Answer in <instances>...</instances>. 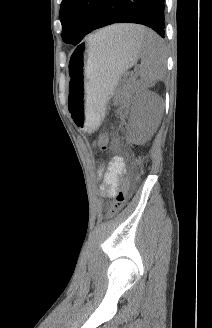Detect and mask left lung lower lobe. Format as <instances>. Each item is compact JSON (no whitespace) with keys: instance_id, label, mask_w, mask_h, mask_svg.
Here are the masks:
<instances>
[{"instance_id":"obj_1","label":"left lung lower lobe","mask_w":212,"mask_h":328,"mask_svg":"<svg viewBox=\"0 0 212 328\" xmlns=\"http://www.w3.org/2000/svg\"><path fill=\"white\" fill-rule=\"evenodd\" d=\"M164 0H104L93 30L114 23H137L164 38Z\"/></svg>"}]
</instances>
